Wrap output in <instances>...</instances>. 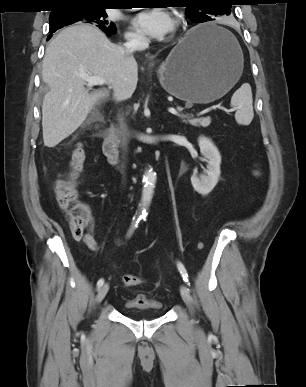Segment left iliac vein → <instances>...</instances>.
I'll return each mask as SVG.
<instances>
[{"instance_id": "obj_1", "label": "left iliac vein", "mask_w": 306, "mask_h": 387, "mask_svg": "<svg viewBox=\"0 0 306 387\" xmlns=\"http://www.w3.org/2000/svg\"><path fill=\"white\" fill-rule=\"evenodd\" d=\"M180 294H181V297H182L183 301L189 307L191 314H193L194 313V309H193V306H192V297L190 295V292H189L188 288L185 285H181V287H180Z\"/></svg>"}]
</instances>
